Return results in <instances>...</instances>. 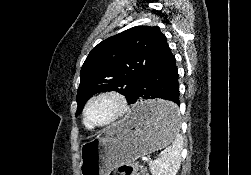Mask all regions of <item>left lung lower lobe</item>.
Wrapping results in <instances>:
<instances>
[{"mask_svg":"<svg viewBox=\"0 0 251 175\" xmlns=\"http://www.w3.org/2000/svg\"><path fill=\"white\" fill-rule=\"evenodd\" d=\"M161 98L170 104L143 107L137 111V118L146 122L166 123L178 117L179 83L175 56L167 45L157 61L137 83L128 102L134 104L139 99Z\"/></svg>","mask_w":251,"mask_h":175,"instance_id":"obj_1","label":"left lung lower lobe"}]
</instances>
